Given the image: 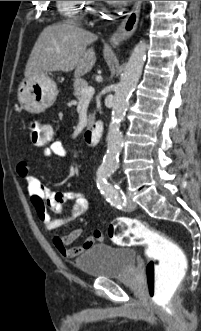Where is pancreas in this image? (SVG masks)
<instances>
[{"mask_svg": "<svg viewBox=\"0 0 201 331\" xmlns=\"http://www.w3.org/2000/svg\"><path fill=\"white\" fill-rule=\"evenodd\" d=\"M88 86V83L86 80L81 79V78H76L74 79V96L77 99H80L82 97V90L84 87ZM95 113H92L89 115V124H92L94 121Z\"/></svg>", "mask_w": 201, "mask_h": 331, "instance_id": "cf45deb5", "label": "pancreas"}]
</instances>
